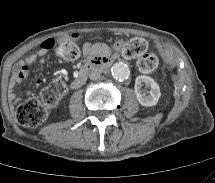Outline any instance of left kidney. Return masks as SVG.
<instances>
[{"instance_id": "1", "label": "left kidney", "mask_w": 215, "mask_h": 183, "mask_svg": "<svg viewBox=\"0 0 215 183\" xmlns=\"http://www.w3.org/2000/svg\"><path fill=\"white\" fill-rule=\"evenodd\" d=\"M145 84L146 86L150 87L149 95L146 96L142 94L140 91L141 85ZM135 94L138 102L146 107L154 106L157 104L161 92L159 85L149 76H138L135 81Z\"/></svg>"}]
</instances>
